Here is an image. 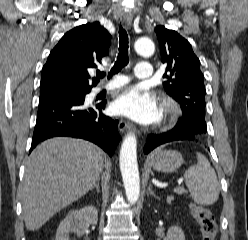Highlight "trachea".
<instances>
[{
  "instance_id": "3493384b",
  "label": "trachea",
  "mask_w": 248,
  "mask_h": 240,
  "mask_svg": "<svg viewBox=\"0 0 248 240\" xmlns=\"http://www.w3.org/2000/svg\"><path fill=\"white\" fill-rule=\"evenodd\" d=\"M128 48H129V38L126 30L120 25L119 28V53L117 60L111 69L108 78L112 75L118 73L124 66L129 62L128 59ZM105 76L104 72H97L98 78H103Z\"/></svg>"
}]
</instances>
